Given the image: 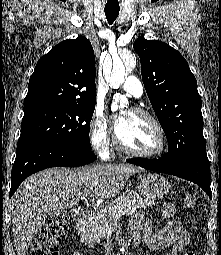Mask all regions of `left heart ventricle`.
Masks as SVG:
<instances>
[{
    "mask_svg": "<svg viewBox=\"0 0 221 255\" xmlns=\"http://www.w3.org/2000/svg\"><path fill=\"white\" fill-rule=\"evenodd\" d=\"M117 134L126 146L141 152L153 151L159 144V136L153 124L131 111L122 114Z\"/></svg>",
    "mask_w": 221,
    "mask_h": 255,
    "instance_id": "obj_1",
    "label": "left heart ventricle"
}]
</instances>
